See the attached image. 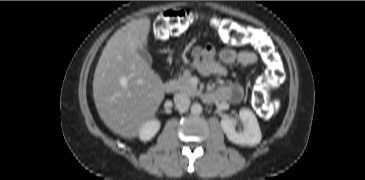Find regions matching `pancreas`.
<instances>
[{
    "label": "pancreas",
    "mask_w": 365,
    "mask_h": 180,
    "mask_svg": "<svg viewBox=\"0 0 365 180\" xmlns=\"http://www.w3.org/2000/svg\"><path fill=\"white\" fill-rule=\"evenodd\" d=\"M191 78V72L189 70H185L182 76H179L178 79L173 80L175 89L188 96H197L199 94V90L196 86L191 84Z\"/></svg>",
    "instance_id": "pancreas-1"
}]
</instances>
